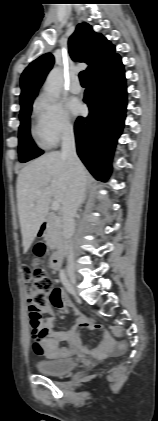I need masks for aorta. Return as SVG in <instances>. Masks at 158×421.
Returning <instances> with one entry per match:
<instances>
[{"label":"aorta","mask_w":158,"mask_h":421,"mask_svg":"<svg viewBox=\"0 0 158 421\" xmlns=\"http://www.w3.org/2000/svg\"><path fill=\"white\" fill-rule=\"evenodd\" d=\"M63 78L59 68H54L48 74L45 84L44 91L47 95L53 99H57L60 96L62 90Z\"/></svg>","instance_id":"762f6f07"}]
</instances>
